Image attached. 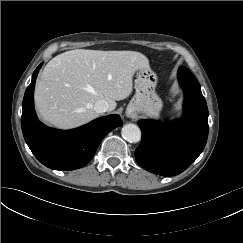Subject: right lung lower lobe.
Segmentation results:
<instances>
[{"mask_svg": "<svg viewBox=\"0 0 243 243\" xmlns=\"http://www.w3.org/2000/svg\"><path fill=\"white\" fill-rule=\"evenodd\" d=\"M41 65L34 71L24 95L23 136L32 153L45 166L54 170L81 168L92 159L106 134L123 124L122 120L118 115H110L67 131L42 124L37 119L33 103L35 80Z\"/></svg>", "mask_w": 243, "mask_h": 243, "instance_id": "1", "label": "right lung lower lobe"}]
</instances>
